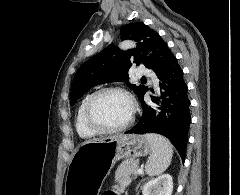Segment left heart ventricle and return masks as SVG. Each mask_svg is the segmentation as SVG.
Returning a JSON list of instances; mask_svg holds the SVG:
<instances>
[{
  "label": "left heart ventricle",
  "mask_w": 240,
  "mask_h": 195,
  "mask_svg": "<svg viewBox=\"0 0 240 195\" xmlns=\"http://www.w3.org/2000/svg\"><path fill=\"white\" fill-rule=\"evenodd\" d=\"M94 115L96 120L104 126H121L131 116V104L123 95L107 94L96 104Z\"/></svg>",
  "instance_id": "obj_1"
}]
</instances>
